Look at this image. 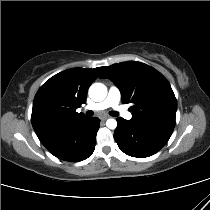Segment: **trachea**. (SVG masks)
<instances>
[{"label":"trachea","mask_w":210,"mask_h":210,"mask_svg":"<svg viewBox=\"0 0 210 210\" xmlns=\"http://www.w3.org/2000/svg\"><path fill=\"white\" fill-rule=\"evenodd\" d=\"M86 114H87V116H93L94 112L93 111H87ZM109 114L113 117L118 116V113L116 111H111Z\"/></svg>","instance_id":"3493384b"}]
</instances>
